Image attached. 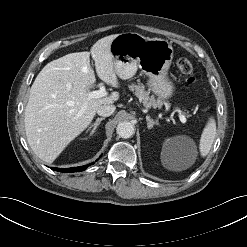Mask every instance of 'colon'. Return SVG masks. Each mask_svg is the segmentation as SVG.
Listing matches in <instances>:
<instances>
[{
    "label": "colon",
    "mask_w": 247,
    "mask_h": 247,
    "mask_svg": "<svg viewBox=\"0 0 247 247\" xmlns=\"http://www.w3.org/2000/svg\"><path fill=\"white\" fill-rule=\"evenodd\" d=\"M180 73L184 76L185 81L188 84L195 82V76L193 74L192 65L187 59H180L177 63Z\"/></svg>",
    "instance_id": "obj_1"
}]
</instances>
